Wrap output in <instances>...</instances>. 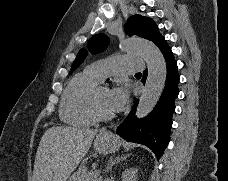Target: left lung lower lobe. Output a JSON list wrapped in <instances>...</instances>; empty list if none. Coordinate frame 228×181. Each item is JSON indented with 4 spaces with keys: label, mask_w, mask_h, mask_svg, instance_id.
I'll return each mask as SVG.
<instances>
[{
    "label": "left lung lower lobe",
    "mask_w": 228,
    "mask_h": 181,
    "mask_svg": "<svg viewBox=\"0 0 228 181\" xmlns=\"http://www.w3.org/2000/svg\"><path fill=\"white\" fill-rule=\"evenodd\" d=\"M156 46L162 52L167 64L166 84L163 93L152 113L143 119H137L135 116L138 103L135 99V105L131 112L117 127L116 132L127 141L146 145L159 159L169 141L172 113L175 109L174 101L178 96L179 75L176 61L165 39H161ZM146 77L147 70L143 74V83H145Z\"/></svg>",
    "instance_id": "0a47b994"
}]
</instances>
